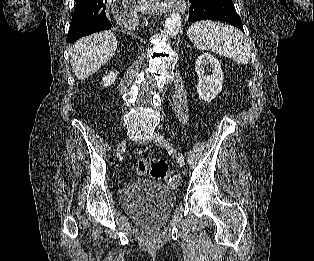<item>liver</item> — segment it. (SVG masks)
Masks as SVG:
<instances>
[{"label": "liver", "mask_w": 314, "mask_h": 261, "mask_svg": "<svg viewBox=\"0 0 314 261\" xmlns=\"http://www.w3.org/2000/svg\"><path fill=\"white\" fill-rule=\"evenodd\" d=\"M117 39L105 31L79 39L71 51V66L79 80H84L106 64L115 54Z\"/></svg>", "instance_id": "1"}]
</instances>
